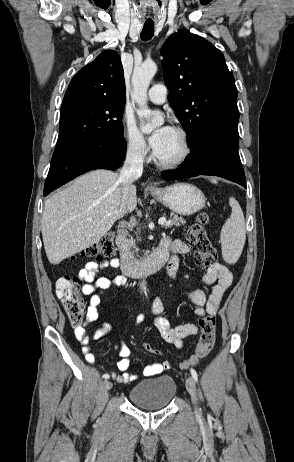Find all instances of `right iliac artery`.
<instances>
[{
	"label": "right iliac artery",
	"instance_id": "82829eb1",
	"mask_svg": "<svg viewBox=\"0 0 294 462\" xmlns=\"http://www.w3.org/2000/svg\"><path fill=\"white\" fill-rule=\"evenodd\" d=\"M103 378L107 380V379L110 378V376H109V374H104V375H103Z\"/></svg>",
	"mask_w": 294,
	"mask_h": 462
}]
</instances>
